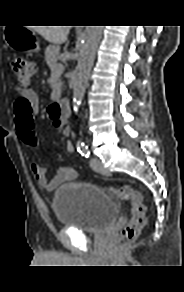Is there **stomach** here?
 <instances>
[{"instance_id": "obj_1", "label": "stomach", "mask_w": 184, "mask_h": 292, "mask_svg": "<svg viewBox=\"0 0 184 292\" xmlns=\"http://www.w3.org/2000/svg\"><path fill=\"white\" fill-rule=\"evenodd\" d=\"M4 38L7 45L19 52L39 51V42L35 34L26 27H6Z\"/></svg>"}]
</instances>
